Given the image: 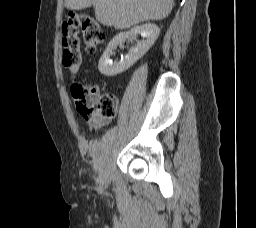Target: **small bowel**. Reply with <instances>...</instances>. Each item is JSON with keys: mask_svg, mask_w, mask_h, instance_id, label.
<instances>
[{"mask_svg": "<svg viewBox=\"0 0 256 228\" xmlns=\"http://www.w3.org/2000/svg\"><path fill=\"white\" fill-rule=\"evenodd\" d=\"M108 121H109L108 119L99 118V119L93 120L92 125L94 127H100V126L106 124Z\"/></svg>", "mask_w": 256, "mask_h": 228, "instance_id": "small-bowel-1", "label": "small bowel"}]
</instances>
